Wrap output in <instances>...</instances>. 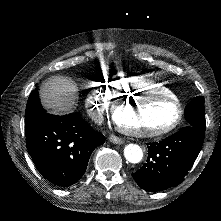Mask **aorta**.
Listing matches in <instances>:
<instances>
[{
	"label": "aorta",
	"instance_id": "1",
	"mask_svg": "<svg viewBox=\"0 0 221 221\" xmlns=\"http://www.w3.org/2000/svg\"><path fill=\"white\" fill-rule=\"evenodd\" d=\"M124 156L130 163H139L143 158V151L137 144H128L124 148Z\"/></svg>",
	"mask_w": 221,
	"mask_h": 221
}]
</instances>
